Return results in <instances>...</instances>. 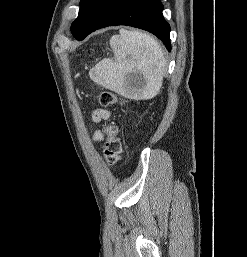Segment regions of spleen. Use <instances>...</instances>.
<instances>
[{
  "label": "spleen",
  "instance_id": "1",
  "mask_svg": "<svg viewBox=\"0 0 247 257\" xmlns=\"http://www.w3.org/2000/svg\"><path fill=\"white\" fill-rule=\"evenodd\" d=\"M114 59L105 58L90 70L97 84L131 99L155 97L162 86L166 61L160 44L149 34L120 29L110 39ZM132 73L143 76L142 87L131 90L128 84Z\"/></svg>",
  "mask_w": 247,
  "mask_h": 257
}]
</instances>
